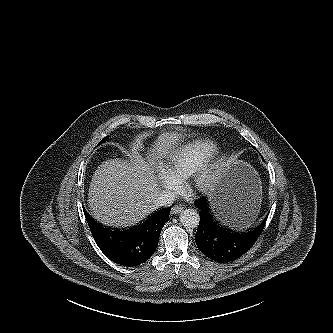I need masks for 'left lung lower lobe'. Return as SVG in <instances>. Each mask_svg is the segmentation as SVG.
I'll return each mask as SVG.
<instances>
[{"label": "left lung lower lobe", "instance_id": "obj_1", "mask_svg": "<svg viewBox=\"0 0 333 333\" xmlns=\"http://www.w3.org/2000/svg\"><path fill=\"white\" fill-rule=\"evenodd\" d=\"M200 210V223L195 235L199 250L210 259L227 263L245 254L261 235L267 217L254 230L239 232L223 226L210 212L207 198L195 202Z\"/></svg>", "mask_w": 333, "mask_h": 333}]
</instances>
